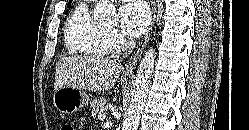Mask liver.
Returning <instances> with one entry per match:
<instances>
[{
	"label": "liver",
	"mask_w": 249,
	"mask_h": 130,
	"mask_svg": "<svg viewBox=\"0 0 249 130\" xmlns=\"http://www.w3.org/2000/svg\"><path fill=\"white\" fill-rule=\"evenodd\" d=\"M122 66L119 62L98 56H71L56 64L54 90L72 87L90 91L111 89Z\"/></svg>",
	"instance_id": "obj_1"
}]
</instances>
